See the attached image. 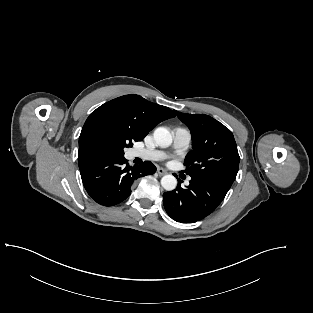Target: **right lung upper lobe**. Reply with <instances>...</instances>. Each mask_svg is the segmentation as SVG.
Returning <instances> with one entry per match:
<instances>
[{
    "label": "right lung upper lobe",
    "instance_id": "cb5924a9",
    "mask_svg": "<svg viewBox=\"0 0 313 313\" xmlns=\"http://www.w3.org/2000/svg\"><path fill=\"white\" fill-rule=\"evenodd\" d=\"M175 113L139 95H124L101 105L82 128L78 162L107 156L113 138L119 133L130 134L135 141L143 140L157 124L175 117Z\"/></svg>",
    "mask_w": 313,
    "mask_h": 313
}]
</instances>
